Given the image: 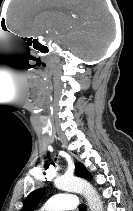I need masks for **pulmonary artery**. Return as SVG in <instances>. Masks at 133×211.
I'll use <instances>...</instances> for the list:
<instances>
[{
    "mask_svg": "<svg viewBox=\"0 0 133 211\" xmlns=\"http://www.w3.org/2000/svg\"><path fill=\"white\" fill-rule=\"evenodd\" d=\"M77 207V197L70 193H59L52 196L39 211H65Z\"/></svg>",
    "mask_w": 133,
    "mask_h": 211,
    "instance_id": "1",
    "label": "pulmonary artery"
}]
</instances>
